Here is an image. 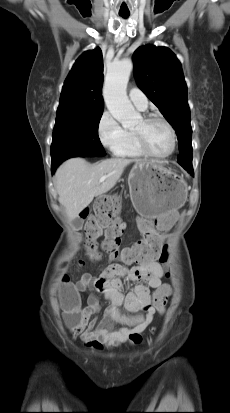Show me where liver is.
<instances>
[{"label": "liver", "mask_w": 230, "mask_h": 413, "mask_svg": "<svg viewBox=\"0 0 230 413\" xmlns=\"http://www.w3.org/2000/svg\"><path fill=\"white\" fill-rule=\"evenodd\" d=\"M132 162L125 158H111L91 165L83 158H71L59 166L55 173L58 201L64 206L69 220H74L94 197L111 190L124 169ZM106 176V180L99 182Z\"/></svg>", "instance_id": "6515ba94"}]
</instances>
